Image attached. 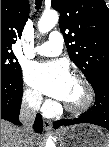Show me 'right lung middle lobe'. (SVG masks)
Segmentation results:
<instances>
[{"label": "right lung middle lobe", "instance_id": "right-lung-middle-lobe-1", "mask_svg": "<svg viewBox=\"0 0 109 147\" xmlns=\"http://www.w3.org/2000/svg\"><path fill=\"white\" fill-rule=\"evenodd\" d=\"M9 50L1 48V76L16 77L21 75V67L14 61L16 59L14 53Z\"/></svg>", "mask_w": 109, "mask_h": 147}]
</instances>
